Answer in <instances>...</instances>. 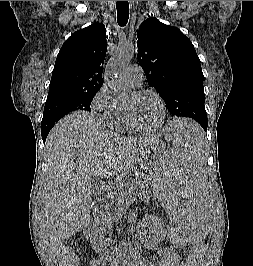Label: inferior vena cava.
I'll return each instance as SVG.
<instances>
[{
	"instance_id": "602c4592",
	"label": "inferior vena cava",
	"mask_w": 253,
	"mask_h": 266,
	"mask_svg": "<svg viewBox=\"0 0 253 266\" xmlns=\"http://www.w3.org/2000/svg\"><path fill=\"white\" fill-rule=\"evenodd\" d=\"M93 218H94L96 224L99 225V222H100V220H101V219H100L101 217L98 216V215H94ZM99 229L101 230V227H100ZM99 229H97V230L99 231Z\"/></svg>"
}]
</instances>
